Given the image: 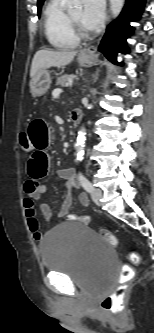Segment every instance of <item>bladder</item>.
Wrapping results in <instances>:
<instances>
[{
	"mask_svg": "<svg viewBox=\"0 0 154 333\" xmlns=\"http://www.w3.org/2000/svg\"><path fill=\"white\" fill-rule=\"evenodd\" d=\"M47 271L62 273L82 287L108 290L115 279L113 247L81 222H65L50 229L39 243Z\"/></svg>",
	"mask_w": 154,
	"mask_h": 333,
	"instance_id": "obj_1",
	"label": "bladder"
}]
</instances>
